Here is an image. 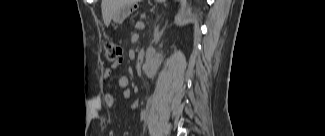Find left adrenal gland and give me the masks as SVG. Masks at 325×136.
<instances>
[{"instance_id": "obj_1", "label": "left adrenal gland", "mask_w": 325, "mask_h": 136, "mask_svg": "<svg viewBox=\"0 0 325 136\" xmlns=\"http://www.w3.org/2000/svg\"><path fill=\"white\" fill-rule=\"evenodd\" d=\"M164 29H165V27L161 31H159V26L155 27V29H154V40H153L155 42V44H157L158 41L160 40Z\"/></svg>"}]
</instances>
